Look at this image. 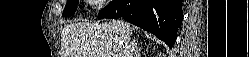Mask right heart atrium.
Instances as JSON below:
<instances>
[{
	"label": "right heart atrium",
	"instance_id": "1",
	"mask_svg": "<svg viewBox=\"0 0 249 57\" xmlns=\"http://www.w3.org/2000/svg\"><path fill=\"white\" fill-rule=\"evenodd\" d=\"M92 3H95V4H102L103 2L102 1H97V0H95V1H91Z\"/></svg>",
	"mask_w": 249,
	"mask_h": 57
}]
</instances>
